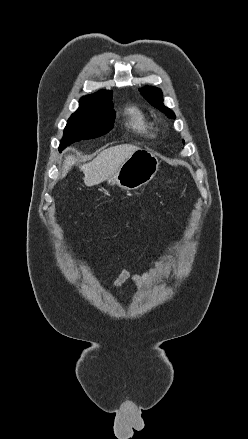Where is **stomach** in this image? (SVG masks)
I'll return each mask as SVG.
<instances>
[{"label":"stomach","instance_id":"1","mask_svg":"<svg viewBox=\"0 0 248 439\" xmlns=\"http://www.w3.org/2000/svg\"><path fill=\"white\" fill-rule=\"evenodd\" d=\"M159 168L157 157L147 149H138L107 179L110 186L117 185L124 190H136L149 183Z\"/></svg>","mask_w":248,"mask_h":439}]
</instances>
